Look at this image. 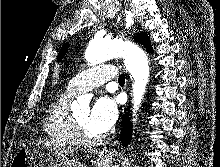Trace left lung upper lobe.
Segmentation results:
<instances>
[{
    "instance_id": "1",
    "label": "left lung upper lobe",
    "mask_w": 220,
    "mask_h": 167,
    "mask_svg": "<svg viewBox=\"0 0 220 167\" xmlns=\"http://www.w3.org/2000/svg\"><path fill=\"white\" fill-rule=\"evenodd\" d=\"M135 40L140 42L141 44H143L145 46V48L150 52V50H151L150 40L148 39V36L145 33H138L135 36ZM68 47H69L68 43H65L63 45V47L61 48V50L58 54V57H57L58 61H61V59L65 56V54L68 50Z\"/></svg>"
}]
</instances>
